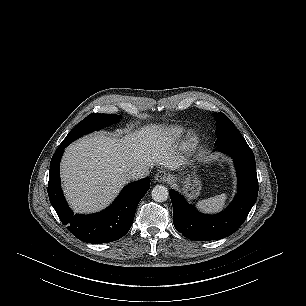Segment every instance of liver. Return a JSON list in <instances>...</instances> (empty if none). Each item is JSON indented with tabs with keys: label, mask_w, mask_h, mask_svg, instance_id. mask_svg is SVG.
<instances>
[{
	"label": "liver",
	"mask_w": 306,
	"mask_h": 306,
	"mask_svg": "<svg viewBox=\"0 0 306 306\" xmlns=\"http://www.w3.org/2000/svg\"><path fill=\"white\" fill-rule=\"evenodd\" d=\"M186 163L169 129L147 126L122 138L96 133L69 145L61 162L66 197L79 213L106 207L138 165L177 170Z\"/></svg>",
	"instance_id": "liver-1"
}]
</instances>
